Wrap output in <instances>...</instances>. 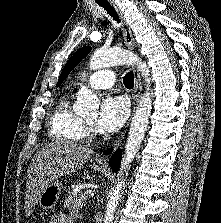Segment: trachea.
<instances>
[{
	"instance_id": "3493384b",
	"label": "trachea",
	"mask_w": 221,
	"mask_h": 223,
	"mask_svg": "<svg viewBox=\"0 0 221 223\" xmlns=\"http://www.w3.org/2000/svg\"><path fill=\"white\" fill-rule=\"evenodd\" d=\"M96 3L101 6L102 8H104V10H106L108 12V14L113 17V19L115 21H117V23L120 22V19L116 13V11L113 9V7L107 2V0H95ZM123 83L125 85L126 88L131 89L134 86V75L133 72L130 71L128 72L124 77H123Z\"/></svg>"
}]
</instances>
